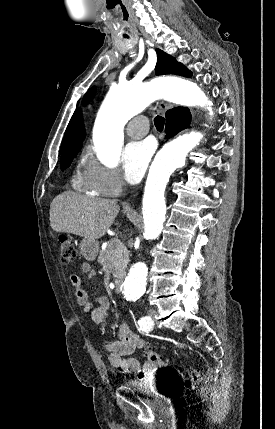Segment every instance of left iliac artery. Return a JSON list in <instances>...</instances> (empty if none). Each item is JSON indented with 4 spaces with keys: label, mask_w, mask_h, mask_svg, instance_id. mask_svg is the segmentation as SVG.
Instances as JSON below:
<instances>
[{
    "label": "left iliac artery",
    "mask_w": 275,
    "mask_h": 429,
    "mask_svg": "<svg viewBox=\"0 0 275 429\" xmlns=\"http://www.w3.org/2000/svg\"><path fill=\"white\" fill-rule=\"evenodd\" d=\"M138 325L140 330L150 331L153 327V321L148 316H145L138 321Z\"/></svg>",
    "instance_id": "44dca946"
}]
</instances>
